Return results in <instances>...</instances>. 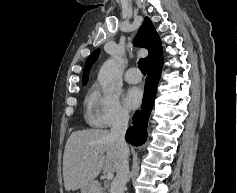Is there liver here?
Segmentation results:
<instances>
[{
	"instance_id": "6515ba94",
	"label": "liver",
	"mask_w": 237,
	"mask_h": 193,
	"mask_svg": "<svg viewBox=\"0 0 237 193\" xmlns=\"http://www.w3.org/2000/svg\"><path fill=\"white\" fill-rule=\"evenodd\" d=\"M121 163L120 147L110 131H75L68 138L64 150L65 190L75 191L92 183L102 169L106 172H117Z\"/></svg>"
}]
</instances>
